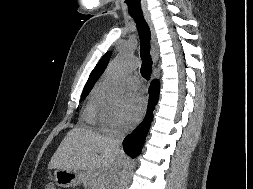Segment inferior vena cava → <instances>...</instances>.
<instances>
[{
	"label": "inferior vena cava",
	"instance_id": "obj_1",
	"mask_svg": "<svg viewBox=\"0 0 253 189\" xmlns=\"http://www.w3.org/2000/svg\"><path fill=\"white\" fill-rule=\"evenodd\" d=\"M123 138H124L123 132H118L112 138H110L111 145L117 152V156L120 158L121 163L119 162L115 164L114 167L111 168L106 179L104 180L103 186H105L107 189H115V185L116 182L118 181L122 164L125 165L129 161L126 155V151L121 148Z\"/></svg>",
	"mask_w": 253,
	"mask_h": 189
}]
</instances>
